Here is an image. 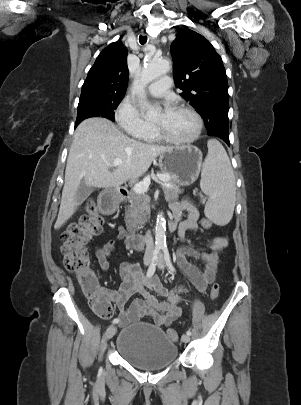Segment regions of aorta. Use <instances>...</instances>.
Instances as JSON below:
<instances>
[{"instance_id": "762f6f07", "label": "aorta", "mask_w": 301, "mask_h": 405, "mask_svg": "<svg viewBox=\"0 0 301 405\" xmlns=\"http://www.w3.org/2000/svg\"><path fill=\"white\" fill-rule=\"evenodd\" d=\"M170 69V63L164 59L148 60L142 71L139 79L134 84V93L137 95L138 101L142 109L146 108V86L157 77L167 73ZM166 220L162 213L157 216L155 227L156 248L163 249L166 247Z\"/></svg>"}]
</instances>
